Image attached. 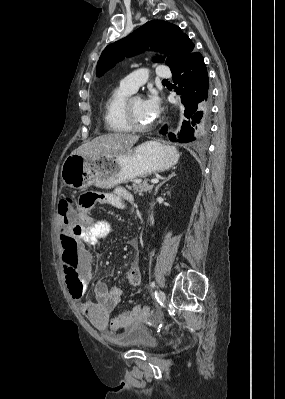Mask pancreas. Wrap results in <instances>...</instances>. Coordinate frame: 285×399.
Instances as JSON below:
<instances>
[{
  "label": "pancreas",
  "mask_w": 285,
  "mask_h": 399,
  "mask_svg": "<svg viewBox=\"0 0 285 399\" xmlns=\"http://www.w3.org/2000/svg\"><path fill=\"white\" fill-rule=\"evenodd\" d=\"M154 185L153 184H148L147 181H133L132 186H127L129 190H132L134 193H138L139 195H144L146 193H151Z\"/></svg>",
  "instance_id": "cf45deb5"
}]
</instances>
